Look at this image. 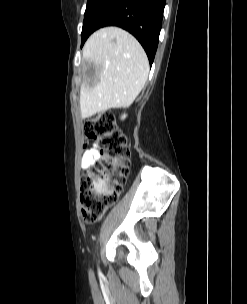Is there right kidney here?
Returning <instances> with one entry per match:
<instances>
[{
    "instance_id": "obj_1",
    "label": "right kidney",
    "mask_w": 247,
    "mask_h": 304,
    "mask_svg": "<svg viewBox=\"0 0 247 304\" xmlns=\"http://www.w3.org/2000/svg\"><path fill=\"white\" fill-rule=\"evenodd\" d=\"M125 117H126V115H123V116H122V119H124Z\"/></svg>"
}]
</instances>
